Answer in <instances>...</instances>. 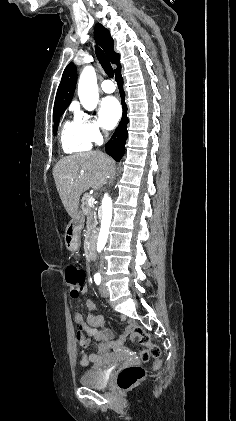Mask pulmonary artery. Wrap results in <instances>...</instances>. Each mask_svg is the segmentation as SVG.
<instances>
[{"label":"pulmonary artery","instance_id":"e3ab8cb5","mask_svg":"<svg viewBox=\"0 0 236 421\" xmlns=\"http://www.w3.org/2000/svg\"><path fill=\"white\" fill-rule=\"evenodd\" d=\"M101 88L106 93H113L116 90V84L109 80H104L101 83Z\"/></svg>","mask_w":236,"mask_h":421}]
</instances>
